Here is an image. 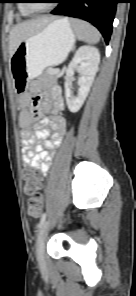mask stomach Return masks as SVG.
Here are the masks:
<instances>
[{"mask_svg": "<svg viewBox=\"0 0 136 296\" xmlns=\"http://www.w3.org/2000/svg\"><path fill=\"white\" fill-rule=\"evenodd\" d=\"M74 41V30L67 18L51 21L41 31L22 41L10 60L17 94H27L26 82L40 77L47 67L63 62Z\"/></svg>", "mask_w": 136, "mask_h": 296, "instance_id": "0dacf381", "label": "stomach"}]
</instances>
